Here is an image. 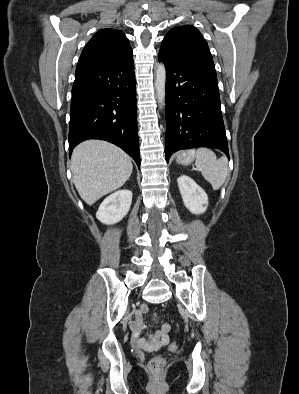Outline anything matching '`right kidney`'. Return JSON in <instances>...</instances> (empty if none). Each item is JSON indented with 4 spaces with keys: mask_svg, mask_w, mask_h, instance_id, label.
I'll use <instances>...</instances> for the list:
<instances>
[{
    "mask_svg": "<svg viewBox=\"0 0 299 394\" xmlns=\"http://www.w3.org/2000/svg\"><path fill=\"white\" fill-rule=\"evenodd\" d=\"M131 202L132 192L127 189L119 190L104 199L96 217L104 224H115L128 214Z\"/></svg>",
    "mask_w": 299,
    "mask_h": 394,
    "instance_id": "1",
    "label": "right kidney"
}]
</instances>
